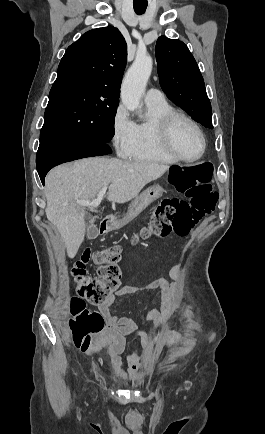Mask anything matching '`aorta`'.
<instances>
[{
  "instance_id": "1",
  "label": "aorta",
  "mask_w": 265,
  "mask_h": 434,
  "mask_svg": "<svg viewBox=\"0 0 265 434\" xmlns=\"http://www.w3.org/2000/svg\"><path fill=\"white\" fill-rule=\"evenodd\" d=\"M153 68L150 56H136L121 84V100L127 110L134 112L145 92Z\"/></svg>"
}]
</instances>
